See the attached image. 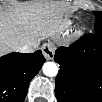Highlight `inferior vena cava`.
<instances>
[{
	"label": "inferior vena cava",
	"instance_id": "1",
	"mask_svg": "<svg viewBox=\"0 0 102 102\" xmlns=\"http://www.w3.org/2000/svg\"><path fill=\"white\" fill-rule=\"evenodd\" d=\"M38 45L39 42L34 40L18 47L17 51L21 53H32Z\"/></svg>",
	"mask_w": 102,
	"mask_h": 102
}]
</instances>
